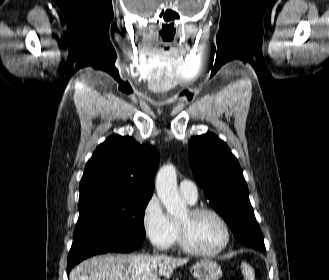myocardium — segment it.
Returning <instances> with one entry per match:
<instances>
[{
    "instance_id": "myocardium-1",
    "label": "myocardium",
    "mask_w": 329,
    "mask_h": 280,
    "mask_svg": "<svg viewBox=\"0 0 329 280\" xmlns=\"http://www.w3.org/2000/svg\"><path fill=\"white\" fill-rule=\"evenodd\" d=\"M188 213L189 216L192 218L204 214L214 217L223 228L224 240L223 243L213 251H205L198 249L191 243L186 227L182 223L178 222L177 226H178L179 242L182 249L191 255L199 256V257H215L223 253L229 246L232 237L230 227L227 221L225 220V218L218 211L203 206L190 207L188 209Z\"/></svg>"
}]
</instances>
